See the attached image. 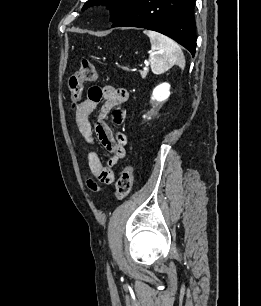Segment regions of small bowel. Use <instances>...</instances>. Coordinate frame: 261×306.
<instances>
[{
	"label": "small bowel",
	"mask_w": 261,
	"mask_h": 306,
	"mask_svg": "<svg viewBox=\"0 0 261 306\" xmlns=\"http://www.w3.org/2000/svg\"><path fill=\"white\" fill-rule=\"evenodd\" d=\"M127 98L128 92L123 88L93 86L89 89L86 99L81 101L75 108L76 126L84 141L93 146L96 136L111 154L108 165L104 166L94 147L86 151V160L95 180H89L88 186L94 192L100 191L96 182L104 184L114 182L116 175L113 167L125 157L128 144L126 135L122 132L114 134L104 119L110 114L111 121L115 125H121L124 122V112L121 105L126 102ZM100 101H103V104L99 112L98 121L93 128L90 122V115Z\"/></svg>",
	"instance_id": "c3829d8e"
}]
</instances>
